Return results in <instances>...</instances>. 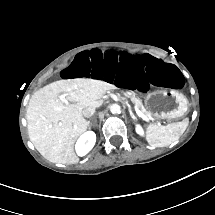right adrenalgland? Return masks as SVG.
<instances>
[{"instance_id": "right-adrenal-gland-1", "label": "right adrenal gland", "mask_w": 215, "mask_h": 215, "mask_svg": "<svg viewBox=\"0 0 215 215\" xmlns=\"http://www.w3.org/2000/svg\"><path fill=\"white\" fill-rule=\"evenodd\" d=\"M86 126L90 128V120L87 121Z\"/></svg>"}]
</instances>
